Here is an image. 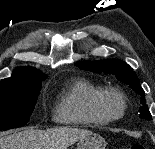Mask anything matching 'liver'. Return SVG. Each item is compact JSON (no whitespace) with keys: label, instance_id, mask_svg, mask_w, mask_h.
<instances>
[{"label":"liver","instance_id":"liver-1","mask_svg":"<svg viewBox=\"0 0 155 149\" xmlns=\"http://www.w3.org/2000/svg\"><path fill=\"white\" fill-rule=\"evenodd\" d=\"M90 133L92 132L89 130L70 127L44 131L26 129L0 137V149H67Z\"/></svg>","mask_w":155,"mask_h":149}]
</instances>
